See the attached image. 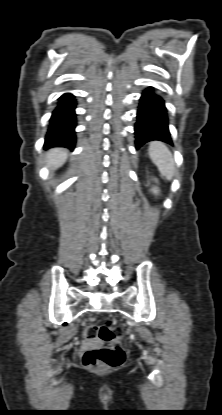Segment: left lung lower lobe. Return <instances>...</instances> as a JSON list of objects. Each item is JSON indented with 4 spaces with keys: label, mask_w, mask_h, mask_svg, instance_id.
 Here are the masks:
<instances>
[{
    "label": "left lung lower lobe",
    "mask_w": 222,
    "mask_h": 415,
    "mask_svg": "<svg viewBox=\"0 0 222 415\" xmlns=\"http://www.w3.org/2000/svg\"><path fill=\"white\" fill-rule=\"evenodd\" d=\"M135 138L136 149L153 140L172 144L165 103L162 97L154 92L153 87L145 89L140 98Z\"/></svg>",
    "instance_id": "1"
}]
</instances>
